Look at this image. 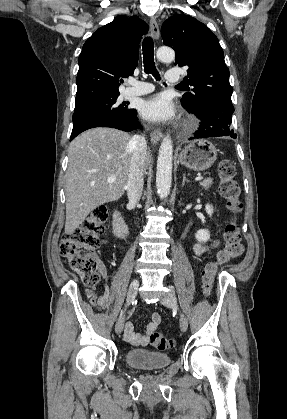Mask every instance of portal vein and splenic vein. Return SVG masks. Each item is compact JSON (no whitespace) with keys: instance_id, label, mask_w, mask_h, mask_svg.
Listing matches in <instances>:
<instances>
[{"instance_id":"1","label":"portal vein and splenic vein","mask_w":287,"mask_h":419,"mask_svg":"<svg viewBox=\"0 0 287 419\" xmlns=\"http://www.w3.org/2000/svg\"><path fill=\"white\" fill-rule=\"evenodd\" d=\"M115 179H116L115 176H111V177L108 178V182H113V181H115ZM195 180L196 181H201V180H203V177L202 176H198V177L195 178Z\"/></svg>"}]
</instances>
